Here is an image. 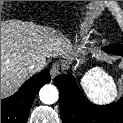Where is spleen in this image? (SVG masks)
Listing matches in <instances>:
<instances>
[{"label": "spleen", "instance_id": "spleen-1", "mask_svg": "<svg viewBox=\"0 0 123 123\" xmlns=\"http://www.w3.org/2000/svg\"><path fill=\"white\" fill-rule=\"evenodd\" d=\"M81 86L87 97L98 104L110 103L118 94L112 76L101 68L86 73L81 79Z\"/></svg>", "mask_w": 123, "mask_h": 123}]
</instances>
